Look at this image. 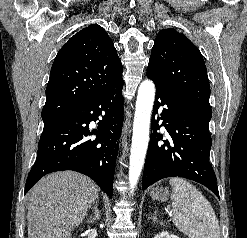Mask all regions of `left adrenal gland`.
<instances>
[{
  "label": "left adrenal gland",
  "instance_id": "obj_1",
  "mask_svg": "<svg viewBox=\"0 0 247 238\" xmlns=\"http://www.w3.org/2000/svg\"><path fill=\"white\" fill-rule=\"evenodd\" d=\"M156 216H157V211H155L154 215L150 217V219L154 222V224H158Z\"/></svg>",
  "mask_w": 247,
  "mask_h": 238
}]
</instances>
